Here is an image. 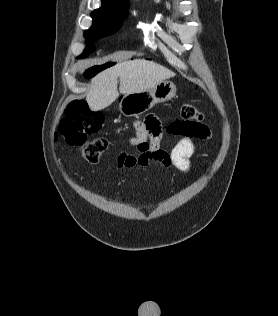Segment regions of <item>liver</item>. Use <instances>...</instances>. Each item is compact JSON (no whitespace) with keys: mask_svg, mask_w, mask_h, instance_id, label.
Segmentation results:
<instances>
[{"mask_svg":"<svg viewBox=\"0 0 278 316\" xmlns=\"http://www.w3.org/2000/svg\"><path fill=\"white\" fill-rule=\"evenodd\" d=\"M174 72L145 59L124 61L98 73L91 81L86 100L91 110H101L111 105L121 94L139 93L157 83L174 77Z\"/></svg>","mask_w":278,"mask_h":316,"instance_id":"6515ba94","label":"liver"}]
</instances>
